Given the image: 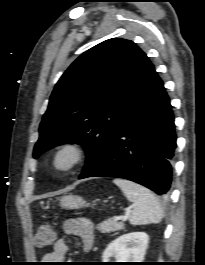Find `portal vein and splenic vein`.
I'll return each instance as SVG.
<instances>
[{
    "mask_svg": "<svg viewBox=\"0 0 205 265\" xmlns=\"http://www.w3.org/2000/svg\"><path fill=\"white\" fill-rule=\"evenodd\" d=\"M127 219V216H116L115 218H114V220L115 221H119V220H126Z\"/></svg>",
    "mask_w": 205,
    "mask_h": 265,
    "instance_id": "1",
    "label": "portal vein and splenic vein"
}]
</instances>
